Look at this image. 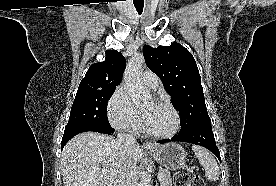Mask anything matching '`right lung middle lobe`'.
<instances>
[{"instance_id":"right-lung-middle-lobe-1","label":"right lung middle lobe","mask_w":276,"mask_h":186,"mask_svg":"<svg viewBox=\"0 0 276 186\" xmlns=\"http://www.w3.org/2000/svg\"><path fill=\"white\" fill-rule=\"evenodd\" d=\"M115 88L78 90L65 129L81 124L109 126L107 102Z\"/></svg>"}]
</instances>
